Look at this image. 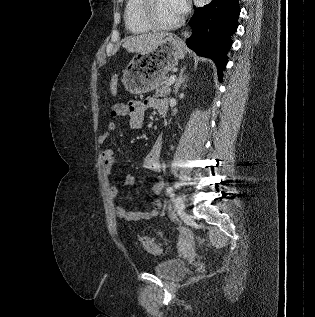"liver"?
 <instances>
[{
  "instance_id": "6515ba94",
  "label": "liver",
  "mask_w": 315,
  "mask_h": 317,
  "mask_svg": "<svg viewBox=\"0 0 315 317\" xmlns=\"http://www.w3.org/2000/svg\"><path fill=\"white\" fill-rule=\"evenodd\" d=\"M171 36L169 33H149L129 37L123 43V48L128 52H150L162 39Z\"/></svg>"
}]
</instances>
